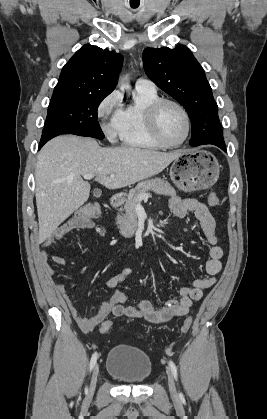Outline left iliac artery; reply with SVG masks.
I'll use <instances>...</instances> for the list:
<instances>
[{
    "instance_id": "44dca946",
    "label": "left iliac artery",
    "mask_w": 267,
    "mask_h": 419,
    "mask_svg": "<svg viewBox=\"0 0 267 419\" xmlns=\"http://www.w3.org/2000/svg\"><path fill=\"white\" fill-rule=\"evenodd\" d=\"M169 366L171 368V372H172L174 378L177 380L178 374H177V367H176L175 363L170 360L169 361Z\"/></svg>"
}]
</instances>
